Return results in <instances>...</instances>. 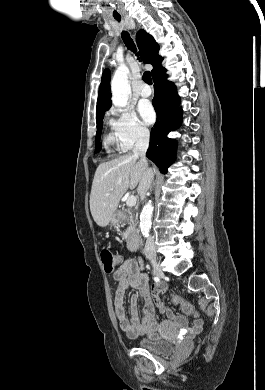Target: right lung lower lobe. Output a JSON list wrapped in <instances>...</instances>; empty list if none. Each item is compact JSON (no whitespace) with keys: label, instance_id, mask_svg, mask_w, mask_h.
I'll list each match as a JSON object with an SVG mask.
<instances>
[{"label":"right lung lower lobe","instance_id":"98d812e1","mask_svg":"<svg viewBox=\"0 0 265 390\" xmlns=\"http://www.w3.org/2000/svg\"><path fill=\"white\" fill-rule=\"evenodd\" d=\"M166 69L161 70L154 78L153 106L157 114L154 128L151 130L149 149L146 156L160 169L167 173L168 167L175 160L176 142L167 137L182 120V109L175 85L167 80Z\"/></svg>","mask_w":265,"mask_h":390}]
</instances>
